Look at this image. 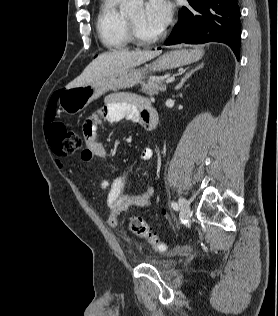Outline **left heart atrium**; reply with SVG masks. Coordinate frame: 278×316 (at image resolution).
<instances>
[{"mask_svg": "<svg viewBox=\"0 0 278 316\" xmlns=\"http://www.w3.org/2000/svg\"><path fill=\"white\" fill-rule=\"evenodd\" d=\"M173 6L169 0H148L145 5L147 23L162 31L171 21Z\"/></svg>", "mask_w": 278, "mask_h": 316, "instance_id": "1", "label": "left heart atrium"}]
</instances>
